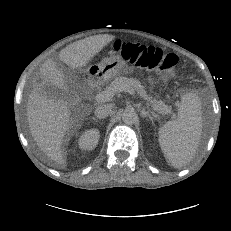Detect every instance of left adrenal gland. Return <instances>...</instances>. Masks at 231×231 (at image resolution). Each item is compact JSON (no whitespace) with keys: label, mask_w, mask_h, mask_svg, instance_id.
I'll list each match as a JSON object with an SVG mask.
<instances>
[{"label":"left adrenal gland","mask_w":231,"mask_h":231,"mask_svg":"<svg viewBox=\"0 0 231 231\" xmlns=\"http://www.w3.org/2000/svg\"><path fill=\"white\" fill-rule=\"evenodd\" d=\"M140 115L142 118H149V120L152 121V124L154 123V118L150 115L148 111H145L144 108H141Z\"/></svg>","instance_id":"a2214340"}]
</instances>
